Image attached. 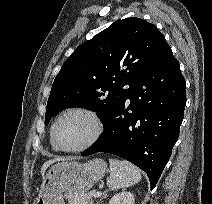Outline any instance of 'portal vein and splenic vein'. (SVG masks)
Listing matches in <instances>:
<instances>
[{
    "instance_id": "obj_1",
    "label": "portal vein and splenic vein",
    "mask_w": 212,
    "mask_h": 204,
    "mask_svg": "<svg viewBox=\"0 0 212 204\" xmlns=\"http://www.w3.org/2000/svg\"><path fill=\"white\" fill-rule=\"evenodd\" d=\"M101 195H102L101 192H95V193L93 194V197L96 198V197H100Z\"/></svg>"
}]
</instances>
